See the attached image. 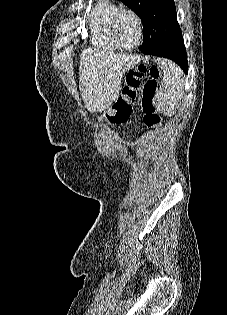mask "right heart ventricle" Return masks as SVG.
Returning a JSON list of instances; mask_svg holds the SVG:
<instances>
[{"instance_id": "e07e8e85", "label": "right heart ventricle", "mask_w": 227, "mask_h": 315, "mask_svg": "<svg viewBox=\"0 0 227 315\" xmlns=\"http://www.w3.org/2000/svg\"><path fill=\"white\" fill-rule=\"evenodd\" d=\"M121 7L114 0H97L88 20L92 29V39L96 46L106 50L118 47L111 38V23Z\"/></svg>"}]
</instances>
